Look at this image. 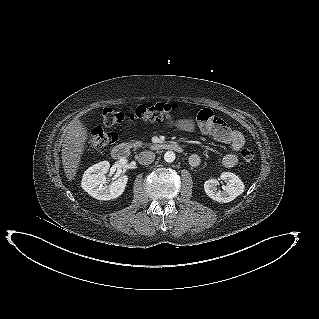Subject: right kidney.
Returning <instances> with one entry per match:
<instances>
[{"mask_svg": "<svg viewBox=\"0 0 319 319\" xmlns=\"http://www.w3.org/2000/svg\"><path fill=\"white\" fill-rule=\"evenodd\" d=\"M109 169L108 161H101L89 167L83 174L81 187L98 200H111L119 197L125 190L128 176L121 175L107 185L105 175Z\"/></svg>", "mask_w": 319, "mask_h": 319, "instance_id": "right-kidney-1", "label": "right kidney"}]
</instances>
